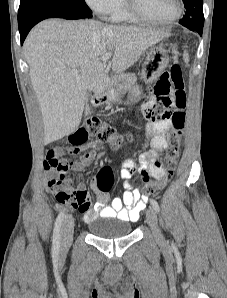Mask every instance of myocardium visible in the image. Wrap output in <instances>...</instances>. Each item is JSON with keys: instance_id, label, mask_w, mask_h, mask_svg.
I'll list each match as a JSON object with an SVG mask.
<instances>
[{"instance_id": "obj_1", "label": "myocardium", "mask_w": 227, "mask_h": 298, "mask_svg": "<svg viewBox=\"0 0 227 298\" xmlns=\"http://www.w3.org/2000/svg\"><path fill=\"white\" fill-rule=\"evenodd\" d=\"M176 11L173 16L165 20H157L146 15L140 8L138 0H124L126 10L137 21L154 24V25H168L178 20L182 14L183 6L181 0H174Z\"/></svg>"}]
</instances>
